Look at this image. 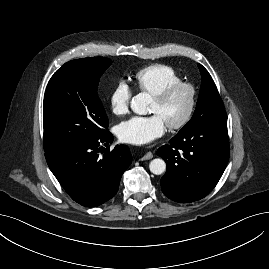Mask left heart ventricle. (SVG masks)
<instances>
[{
	"label": "left heart ventricle",
	"instance_id": "1",
	"mask_svg": "<svg viewBox=\"0 0 269 269\" xmlns=\"http://www.w3.org/2000/svg\"><path fill=\"white\" fill-rule=\"evenodd\" d=\"M189 103V92L181 88L175 91L171 97L163 103L152 99L150 112L158 114L165 123L178 120L185 113Z\"/></svg>",
	"mask_w": 269,
	"mask_h": 269
}]
</instances>
